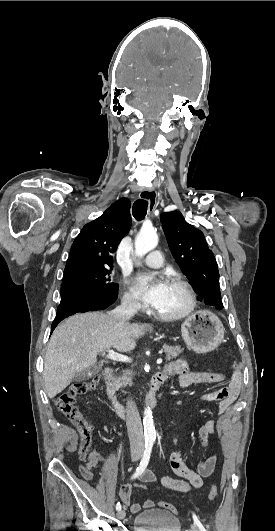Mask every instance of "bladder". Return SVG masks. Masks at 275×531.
<instances>
[{
	"label": "bladder",
	"mask_w": 275,
	"mask_h": 531,
	"mask_svg": "<svg viewBox=\"0 0 275 531\" xmlns=\"http://www.w3.org/2000/svg\"><path fill=\"white\" fill-rule=\"evenodd\" d=\"M180 520L165 509H151L136 514L133 531H181Z\"/></svg>",
	"instance_id": "bladder-1"
}]
</instances>
